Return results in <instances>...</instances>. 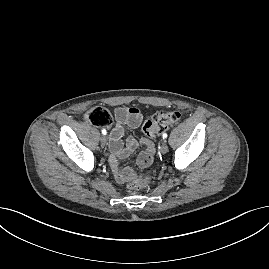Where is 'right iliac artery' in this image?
Masks as SVG:
<instances>
[{"instance_id":"obj_1","label":"right iliac artery","mask_w":269,"mask_h":269,"mask_svg":"<svg viewBox=\"0 0 269 269\" xmlns=\"http://www.w3.org/2000/svg\"><path fill=\"white\" fill-rule=\"evenodd\" d=\"M102 134L103 135H106L107 134V131L105 129H102Z\"/></svg>"}]
</instances>
